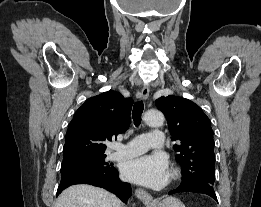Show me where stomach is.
Returning <instances> with one entry per match:
<instances>
[{
  "mask_svg": "<svg viewBox=\"0 0 261 207\" xmlns=\"http://www.w3.org/2000/svg\"><path fill=\"white\" fill-rule=\"evenodd\" d=\"M148 207H185V206L179 199L170 196L161 200H156Z\"/></svg>",
  "mask_w": 261,
  "mask_h": 207,
  "instance_id": "obj_1",
  "label": "stomach"
}]
</instances>
